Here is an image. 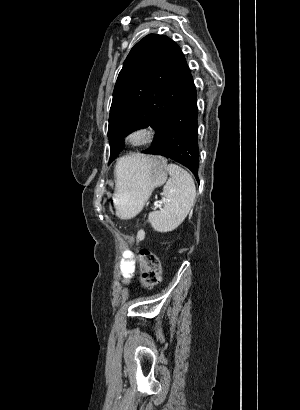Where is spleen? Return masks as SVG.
Masks as SVG:
<instances>
[{"label":"spleen","instance_id":"1","mask_svg":"<svg viewBox=\"0 0 300 410\" xmlns=\"http://www.w3.org/2000/svg\"><path fill=\"white\" fill-rule=\"evenodd\" d=\"M128 168V160L121 158L115 167L116 182L120 173ZM167 171L170 179L163 187L166 199L164 208L151 212L148 216V222L158 232H169L177 228L187 217L196 197L194 181L185 169L171 163L167 166Z\"/></svg>","mask_w":300,"mask_h":410}]
</instances>
